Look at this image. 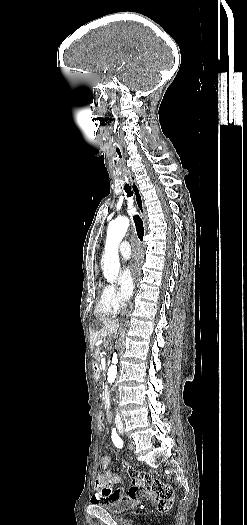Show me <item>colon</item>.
I'll list each match as a JSON object with an SVG mask.
<instances>
[{
  "label": "colon",
  "mask_w": 247,
  "mask_h": 525,
  "mask_svg": "<svg viewBox=\"0 0 247 525\" xmlns=\"http://www.w3.org/2000/svg\"><path fill=\"white\" fill-rule=\"evenodd\" d=\"M95 424H96V426L98 427V430H99L100 432H103V431L105 430V427H104V426H105V424H106V421H105L104 418H102V417L97 418L96 421H95Z\"/></svg>",
  "instance_id": "1"
}]
</instances>
